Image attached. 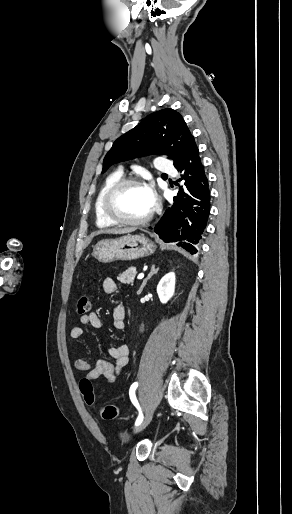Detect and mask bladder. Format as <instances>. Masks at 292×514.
Wrapping results in <instances>:
<instances>
[{
	"label": "bladder",
	"instance_id": "31cf9c89",
	"mask_svg": "<svg viewBox=\"0 0 292 514\" xmlns=\"http://www.w3.org/2000/svg\"><path fill=\"white\" fill-rule=\"evenodd\" d=\"M119 439L123 442H129L132 438L128 431H121L119 433Z\"/></svg>",
	"mask_w": 292,
	"mask_h": 514
}]
</instances>
